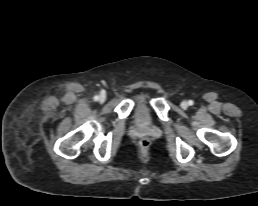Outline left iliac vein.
I'll list each match as a JSON object with an SVG mask.
<instances>
[{
	"label": "left iliac vein",
	"instance_id": "4c4485c4",
	"mask_svg": "<svg viewBox=\"0 0 258 206\" xmlns=\"http://www.w3.org/2000/svg\"><path fill=\"white\" fill-rule=\"evenodd\" d=\"M181 107H182L183 109H186V108L188 107V102H187V101H183V102L181 103Z\"/></svg>",
	"mask_w": 258,
	"mask_h": 206
}]
</instances>
